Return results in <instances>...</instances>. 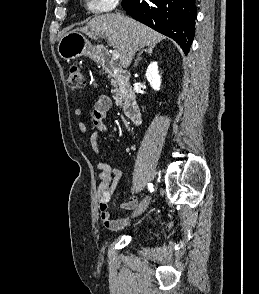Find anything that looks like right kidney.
<instances>
[{
    "label": "right kidney",
    "mask_w": 259,
    "mask_h": 294,
    "mask_svg": "<svg viewBox=\"0 0 259 294\" xmlns=\"http://www.w3.org/2000/svg\"><path fill=\"white\" fill-rule=\"evenodd\" d=\"M145 76H146L148 82L150 83L151 87L155 91H158L160 89V85H161V77L158 72L157 62L150 63V65L147 68Z\"/></svg>",
    "instance_id": "right-kidney-1"
}]
</instances>
